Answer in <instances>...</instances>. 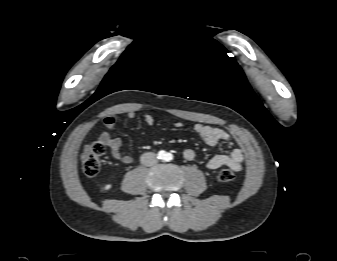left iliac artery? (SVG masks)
<instances>
[{
	"label": "left iliac artery",
	"instance_id": "obj_1",
	"mask_svg": "<svg viewBox=\"0 0 337 261\" xmlns=\"http://www.w3.org/2000/svg\"><path fill=\"white\" fill-rule=\"evenodd\" d=\"M173 159V155L171 154V153H167L166 155H165V160L166 161H171Z\"/></svg>",
	"mask_w": 337,
	"mask_h": 261
}]
</instances>
